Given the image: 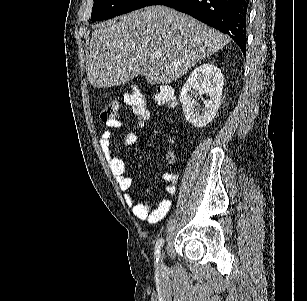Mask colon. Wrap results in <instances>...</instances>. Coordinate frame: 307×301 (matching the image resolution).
<instances>
[{
  "instance_id": "colon-1",
  "label": "colon",
  "mask_w": 307,
  "mask_h": 301,
  "mask_svg": "<svg viewBox=\"0 0 307 301\" xmlns=\"http://www.w3.org/2000/svg\"><path fill=\"white\" fill-rule=\"evenodd\" d=\"M155 100L158 105L161 106H173L175 104V95L171 87L158 86ZM125 103L131 108L136 121L137 126L141 127L149 118V110L147 102L143 94L138 89H134L127 93L124 97ZM119 106L116 101L109 102L100 114L101 120L106 124L113 121H118ZM170 161H174L171 156Z\"/></svg>"
}]
</instances>
